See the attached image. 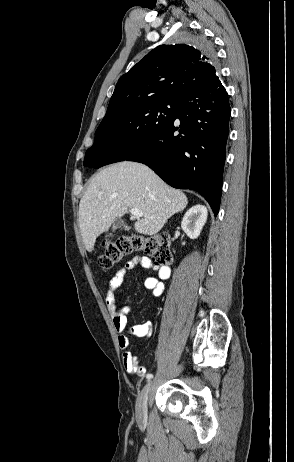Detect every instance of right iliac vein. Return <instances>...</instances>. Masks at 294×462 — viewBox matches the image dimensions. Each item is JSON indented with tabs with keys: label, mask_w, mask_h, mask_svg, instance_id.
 <instances>
[{
	"label": "right iliac vein",
	"mask_w": 294,
	"mask_h": 462,
	"mask_svg": "<svg viewBox=\"0 0 294 462\" xmlns=\"http://www.w3.org/2000/svg\"><path fill=\"white\" fill-rule=\"evenodd\" d=\"M152 383L149 381L141 390L136 401V418L142 422L147 418V400Z\"/></svg>",
	"instance_id": "right-iliac-vein-1"
}]
</instances>
